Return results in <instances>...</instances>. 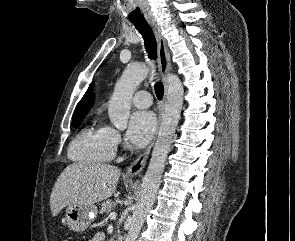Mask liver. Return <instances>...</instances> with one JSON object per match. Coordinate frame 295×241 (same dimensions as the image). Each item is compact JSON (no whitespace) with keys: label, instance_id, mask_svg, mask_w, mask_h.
Wrapping results in <instances>:
<instances>
[{"label":"liver","instance_id":"liver-1","mask_svg":"<svg viewBox=\"0 0 295 241\" xmlns=\"http://www.w3.org/2000/svg\"><path fill=\"white\" fill-rule=\"evenodd\" d=\"M120 169L100 163H73L54 184L50 196L53 216L70 204L92 205L110 198L116 191Z\"/></svg>","mask_w":295,"mask_h":241}]
</instances>
